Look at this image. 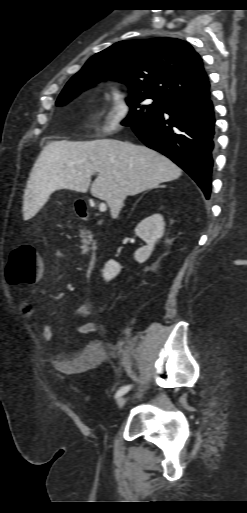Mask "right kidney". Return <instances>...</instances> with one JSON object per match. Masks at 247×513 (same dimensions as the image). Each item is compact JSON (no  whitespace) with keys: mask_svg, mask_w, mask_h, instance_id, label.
<instances>
[{"mask_svg":"<svg viewBox=\"0 0 247 513\" xmlns=\"http://www.w3.org/2000/svg\"><path fill=\"white\" fill-rule=\"evenodd\" d=\"M165 229L164 218L161 214H153L142 220L135 228V234L146 242V246L135 252V259L144 262L151 255L155 244L163 236ZM121 270V266L114 260H109L102 270L103 278L106 281L113 279Z\"/></svg>","mask_w":247,"mask_h":513,"instance_id":"ca27d5eb","label":"right kidney"}]
</instances>
